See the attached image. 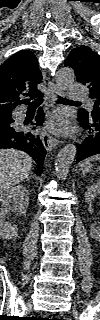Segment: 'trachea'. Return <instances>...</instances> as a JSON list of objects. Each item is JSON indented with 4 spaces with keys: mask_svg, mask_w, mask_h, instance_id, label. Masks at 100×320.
Segmentation results:
<instances>
[{
    "mask_svg": "<svg viewBox=\"0 0 100 320\" xmlns=\"http://www.w3.org/2000/svg\"><path fill=\"white\" fill-rule=\"evenodd\" d=\"M57 101H58L59 103L73 102V101H71V100H68V99H65V98H62V97H58ZM42 102H43L42 99L34 100V101H32V102L29 104V107H37V106L40 105Z\"/></svg>",
    "mask_w": 100,
    "mask_h": 320,
    "instance_id": "3493384b",
    "label": "trachea"
}]
</instances>
